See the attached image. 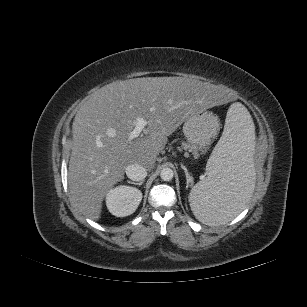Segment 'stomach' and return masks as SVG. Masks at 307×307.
Wrapping results in <instances>:
<instances>
[{"label": "stomach", "mask_w": 307, "mask_h": 307, "mask_svg": "<svg viewBox=\"0 0 307 307\" xmlns=\"http://www.w3.org/2000/svg\"><path fill=\"white\" fill-rule=\"evenodd\" d=\"M219 130L218 117L208 111H197L190 114L183 125V133L190 150L197 154L209 147Z\"/></svg>", "instance_id": "1"}]
</instances>
